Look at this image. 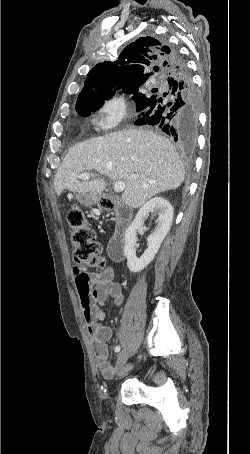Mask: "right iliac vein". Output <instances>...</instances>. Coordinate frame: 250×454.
Instances as JSON below:
<instances>
[{
	"label": "right iliac vein",
	"mask_w": 250,
	"mask_h": 454,
	"mask_svg": "<svg viewBox=\"0 0 250 454\" xmlns=\"http://www.w3.org/2000/svg\"><path fill=\"white\" fill-rule=\"evenodd\" d=\"M128 354L126 349H123L119 354H118V360L121 365H124L127 361Z\"/></svg>",
	"instance_id": "obj_1"
}]
</instances>
